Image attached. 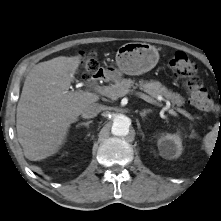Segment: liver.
<instances>
[{
	"mask_svg": "<svg viewBox=\"0 0 221 221\" xmlns=\"http://www.w3.org/2000/svg\"><path fill=\"white\" fill-rule=\"evenodd\" d=\"M80 56L40 62L27 74L17 105L16 128L24 155L39 161L58 152L83 108L99 100L88 91H70Z\"/></svg>",
	"mask_w": 221,
	"mask_h": 221,
	"instance_id": "1",
	"label": "liver"
}]
</instances>
